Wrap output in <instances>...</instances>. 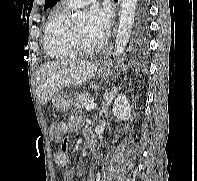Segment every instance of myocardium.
Listing matches in <instances>:
<instances>
[{
    "label": "myocardium",
    "mask_w": 197,
    "mask_h": 181,
    "mask_svg": "<svg viewBox=\"0 0 197 181\" xmlns=\"http://www.w3.org/2000/svg\"><path fill=\"white\" fill-rule=\"evenodd\" d=\"M69 39H70L71 46L74 48V50L78 54H82V55L93 54V53L99 51L102 46L101 44H97L96 46H93V47H88V46L84 45L81 42L80 38L78 37V34L75 30L74 25L70 26Z\"/></svg>",
    "instance_id": "obj_1"
}]
</instances>
